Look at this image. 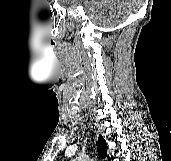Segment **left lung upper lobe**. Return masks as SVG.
Returning <instances> with one entry per match:
<instances>
[{"instance_id":"left-lung-upper-lobe-1","label":"left lung upper lobe","mask_w":171,"mask_h":161,"mask_svg":"<svg viewBox=\"0 0 171 161\" xmlns=\"http://www.w3.org/2000/svg\"><path fill=\"white\" fill-rule=\"evenodd\" d=\"M97 147H98V153L101 158L107 157V144L106 141L102 136H99V140L97 142ZM110 161V159H109Z\"/></svg>"}]
</instances>
